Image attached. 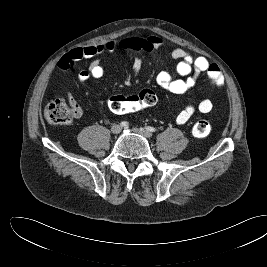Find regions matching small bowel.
<instances>
[{"label":"small bowel","mask_w":267,"mask_h":267,"mask_svg":"<svg viewBox=\"0 0 267 267\" xmlns=\"http://www.w3.org/2000/svg\"><path fill=\"white\" fill-rule=\"evenodd\" d=\"M164 42L157 36H130L121 39H113L98 45L74 48L63 55L57 62V69L61 72L69 70L76 61L88 59L90 61L87 69L78 73L77 79L80 84H85L92 79H100L105 74V68L100 61L103 53L116 49L134 51L137 53H150L163 48ZM171 57L177 61L173 71H161L156 76V83L163 89L174 94H183L191 89L200 74L208 78L212 90H219L224 85V76L220 68L209 62L205 57H195L188 51L175 47L170 52ZM142 68V59L136 57L133 62V72L138 75ZM67 100L76 117L80 116L82 109L72 93H66ZM213 108L212 101L208 98L202 99L197 106L186 105L177 115L178 125L186 124L195 111L209 113Z\"/></svg>","instance_id":"1"}]
</instances>
